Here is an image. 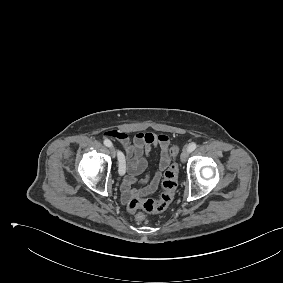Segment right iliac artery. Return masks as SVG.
Wrapping results in <instances>:
<instances>
[{"label": "right iliac artery", "mask_w": 283, "mask_h": 283, "mask_svg": "<svg viewBox=\"0 0 283 283\" xmlns=\"http://www.w3.org/2000/svg\"><path fill=\"white\" fill-rule=\"evenodd\" d=\"M104 145L107 147H112V142L108 139L104 140ZM118 155V163H119V174L123 175L125 173V160H124V155L122 154V152L118 151L117 153Z\"/></svg>", "instance_id": "1"}]
</instances>
